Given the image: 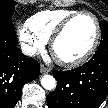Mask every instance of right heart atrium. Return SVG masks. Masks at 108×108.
Segmentation results:
<instances>
[{"label": "right heart atrium", "instance_id": "d8ad5b80", "mask_svg": "<svg viewBox=\"0 0 108 108\" xmlns=\"http://www.w3.org/2000/svg\"><path fill=\"white\" fill-rule=\"evenodd\" d=\"M18 37L24 50L34 55L44 49L46 41L30 30L27 24L18 27Z\"/></svg>", "mask_w": 108, "mask_h": 108}]
</instances>
